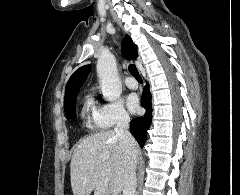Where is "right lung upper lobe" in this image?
<instances>
[{"label": "right lung upper lobe", "instance_id": "cb5924a9", "mask_svg": "<svg viewBox=\"0 0 240 195\" xmlns=\"http://www.w3.org/2000/svg\"><path fill=\"white\" fill-rule=\"evenodd\" d=\"M122 54L128 60L137 57V47L128 35H126L122 43ZM89 72L90 65H84L78 68L70 77L65 90V107L70 105L71 102L76 101L79 88L85 82Z\"/></svg>", "mask_w": 240, "mask_h": 195}]
</instances>
